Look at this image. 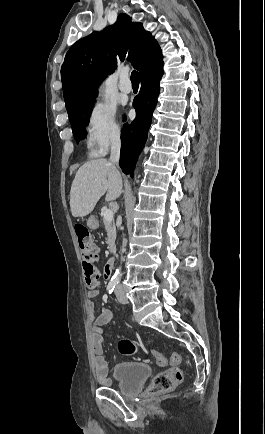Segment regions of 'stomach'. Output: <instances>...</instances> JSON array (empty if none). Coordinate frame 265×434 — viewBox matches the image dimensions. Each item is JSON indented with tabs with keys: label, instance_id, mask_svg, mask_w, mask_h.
<instances>
[{
	"label": "stomach",
	"instance_id": "1",
	"mask_svg": "<svg viewBox=\"0 0 265 434\" xmlns=\"http://www.w3.org/2000/svg\"><path fill=\"white\" fill-rule=\"evenodd\" d=\"M92 222H94V220H88V226H91V230L92 231H97L98 230V225L97 224H92Z\"/></svg>",
	"mask_w": 265,
	"mask_h": 434
}]
</instances>
